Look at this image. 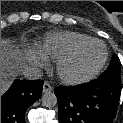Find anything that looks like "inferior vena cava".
<instances>
[{"label": "inferior vena cava", "mask_w": 123, "mask_h": 123, "mask_svg": "<svg viewBox=\"0 0 123 123\" xmlns=\"http://www.w3.org/2000/svg\"><path fill=\"white\" fill-rule=\"evenodd\" d=\"M22 75L27 80H36L42 77V71L37 67H25L22 70Z\"/></svg>", "instance_id": "1"}]
</instances>
